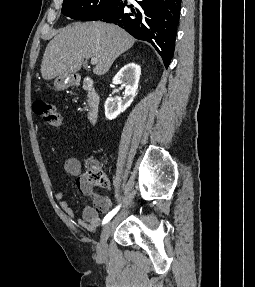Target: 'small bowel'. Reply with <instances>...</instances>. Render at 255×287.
Returning a JSON list of instances; mask_svg holds the SVG:
<instances>
[{
    "instance_id": "1",
    "label": "small bowel",
    "mask_w": 255,
    "mask_h": 287,
    "mask_svg": "<svg viewBox=\"0 0 255 287\" xmlns=\"http://www.w3.org/2000/svg\"><path fill=\"white\" fill-rule=\"evenodd\" d=\"M64 174L67 178H76L78 189L91 197L93 207L87 206L83 210L81 218L76 219L72 208L65 199L64 192H58L55 199L58 202L59 208L65 220L71 224H76L90 232L98 229L101 223L100 214L106 213L109 208L108 200L101 194L94 191L87 183L85 176L82 174V165L77 158H68L64 163Z\"/></svg>"
}]
</instances>
